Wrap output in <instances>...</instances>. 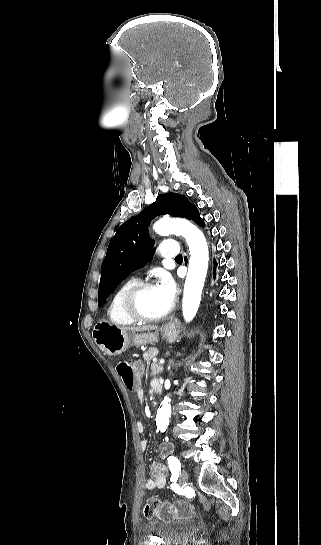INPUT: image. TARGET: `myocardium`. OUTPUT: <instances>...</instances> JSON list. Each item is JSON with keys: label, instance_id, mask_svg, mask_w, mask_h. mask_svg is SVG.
I'll return each mask as SVG.
<instances>
[{"label": "myocardium", "instance_id": "1", "mask_svg": "<svg viewBox=\"0 0 321 545\" xmlns=\"http://www.w3.org/2000/svg\"><path fill=\"white\" fill-rule=\"evenodd\" d=\"M155 287V284L148 281H140L129 287L122 296L121 299V311L123 316L133 324H143L158 322L166 318L171 310L170 307L166 312L158 315H142L138 313L134 308V302L137 296L147 290Z\"/></svg>", "mask_w": 321, "mask_h": 545}]
</instances>
